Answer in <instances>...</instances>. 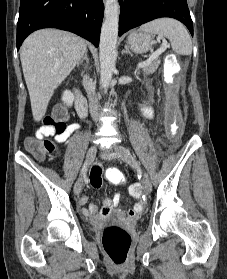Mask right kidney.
<instances>
[{"mask_svg":"<svg viewBox=\"0 0 227 279\" xmlns=\"http://www.w3.org/2000/svg\"><path fill=\"white\" fill-rule=\"evenodd\" d=\"M74 100L73 94L69 90H65L62 95V101L68 106H72Z\"/></svg>","mask_w":227,"mask_h":279,"instance_id":"obj_1","label":"right kidney"}]
</instances>
